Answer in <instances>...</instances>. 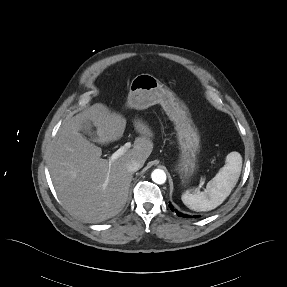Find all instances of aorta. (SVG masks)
<instances>
[{
    "label": "aorta",
    "instance_id": "1",
    "mask_svg": "<svg viewBox=\"0 0 287 287\" xmlns=\"http://www.w3.org/2000/svg\"><path fill=\"white\" fill-rule=\"evenodd\" d=\"M152 181L156 184H164L166 182V173L161 169H155L151 174Z\"/></svg>",
    "mask_w": 287,
    "mask_h": 287
}]
</instances>
